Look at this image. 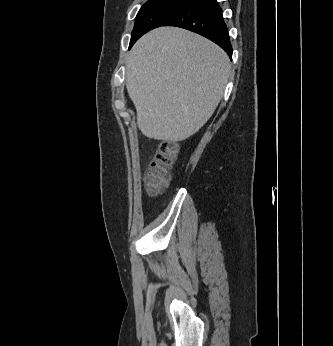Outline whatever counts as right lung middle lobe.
Listing matches in <instances>:
<instances>
[{"instance_id": "obj_1", "label": "right lung middle lobe", "mask_w": 333, "mask_h": 346, "mask_svg": "<svg viewBox=\"0 0 333 346\" xmlns=\"http://www.w3.org/2000/svg\"><path fill=\"white\" fill-rule=\"evenodd\" d=\"M187 0H148L139 10L131 35V46L146 32L162 26Z\"/></svg>"}]
</instances>
